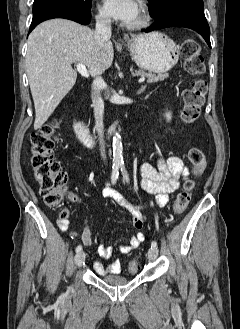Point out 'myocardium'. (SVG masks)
I'll return each mask as SVG.
<instances>
[{
    "label": "myocardium",
    "mask_w": 240,
    "mask_h": 329,
    "mask_svg": "<svg viewBox=\"0 0 240 329\" xmlns=\"http://www.w3.org/2000/svg\"><path fill=\"white\" fill-rule=\"evenodd\" d=\"M139 12H140V17L136 22L126 24V27L128 29H133V30L140 29L148 25L150 21V16L148 9L144 3L140 4Z\"/></svg>",
    "instance_id": "1"
}]
</instances>
